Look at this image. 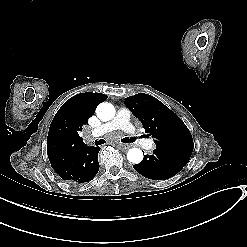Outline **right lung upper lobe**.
I'll list each match as a JSON object with an SVG mask.
<instances>
[{
	"instance_id": "obj_1",
	"label": "right lung upper lobe",
	"mask_w": 247,
	"mask_h": 247,
	"mask_svg": "<svg viewBox=\"0 0 247 247\" xmlns=\"http://www.w3.org/2000/svg\"><path fill=\"white\" fill-rule=\"evenodd\" d=\"M107 98L102 93L86 92L71 97L61 106L50 124L47 137L52 168L63 164L86 146L78 132L87 124L96 106Z\"/></svg>"
}]
</instances>
